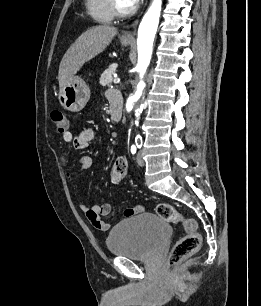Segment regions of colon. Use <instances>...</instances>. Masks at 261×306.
<instances>
[{
    "label": "colon",
    "mask_w": 261,
    "mask_h": 306,
    "mask_svg": "<svg viewBox=\"0 0 261 306\" xmlns=\"http://www.w3.org/2000/svg\"><path fill=\"white\" fill-rule=\"evenodd\" d=\"M50 117L58 133L67 131L68 122L62 111L54 109L51 111ZM127 167L126 159L122 157L118 158L111 167V180L114 183L121 182L126 176ZM156 213L166 222L180 225L185 231V235L175 243L170 252L169 264L171 266L179 263L199 249L201 245V235L198 231V225L195 219L184 216L173 205L168 203L158 204Z\"/></svg>",
    "instance_id": "colon-1"
}]
</instances>
